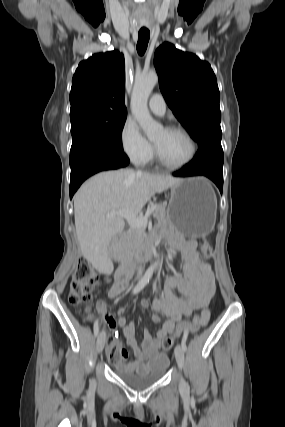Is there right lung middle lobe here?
<instances>
[{"label": "right lung middle lobe", "mask_w": 285, "mask_h": 427, "mask_svg": "<svg viewBox=\"0 0 285 427\" xmlns=\"http://www.w3.org/2000/svg\"><path fill=\"white\" fill-rule=\"evenodd\" d=\"M127 113L86 112L70 116L72 146L70 165L79 155L91 148H102L115 153H124L122 129Z\"/></svg>", "instance_id": "dd1d6c3e"}]
</instances>
